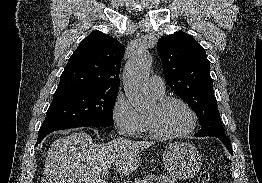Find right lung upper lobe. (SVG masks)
Wrapping results in <instances>:
<instances>
[{"label": "right lung upper lobe", "mask_w": 262, "mask_h": 183, "mask_svg": "<svg viewBox=\"0 0 262 183\" xmlns=\"http://www.w3.org/2000/svg\"><path fill=\"white\" fill-rule=\"evenodd\" d=\"M125 46L100 31L84 38L70 57L55 93L77 89L119 91Z\"/></svg>", "instance_id": "1"}]
</instances>
